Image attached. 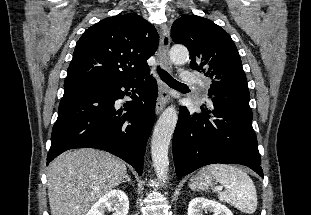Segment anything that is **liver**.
Listing matches in <instances>:
<instances>
[{"instance_id": "6515ba94", "label": "liver", "mask_w": 311, "mask_h": 215, "mask_svg": "<svg viewBox=\"0 0 311 215\" xmlns=\"http://www.w3.org/2000/svg\"><path fill=\"white\" fill-rule=\"evenodd\" d=\"M127 168L119 158L82 148L64 152L48 167L51 215H86L100 197L120 185Z\"/></svg>"}]
</instances>
